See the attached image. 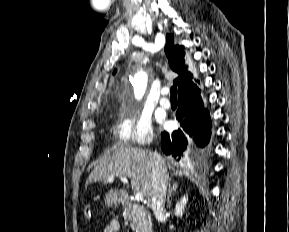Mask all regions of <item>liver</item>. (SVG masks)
I'll return each instance as SVG.
<instances>
[{
    "instance_id": "liver-1",
    "label": "liver",
    "mask_w": 289,
    "mask_h": 232,
    "mask_svg": "<svg viewBox=\"0 0 289 232\" xmlns=\"http://www.w3.org/2000/svg\"><path fill=\"white\" fill-rule=\"evenodd\" d=\"M111 151L112 155L103 159L90 173L86 186L107 181L109 177H126L131 179L132 189L149 199L152 194V152L121 142L114 144ZM162 163L167 168L168 161L165 158H162Z\"/></svg>"
}]
</instances>
